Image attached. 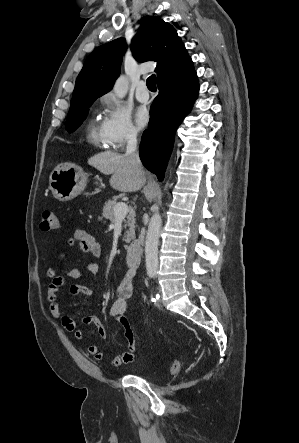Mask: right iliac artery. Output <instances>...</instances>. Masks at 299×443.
I'll use <instances>...</instances> for the list:
<instances>
[{"label":"right iliac artery","instance_id":"82829eb1","mask_svg":"<svg viewBox=\"0 0 299 443\" xmlns=\"http://www.w3.org/2000/svg\"><path fill=\"white\" fill-rule=\"evenodd\" d=\"M155 274L154 273H150V277H153Z\"/></svg>","mask_w":299,"mask_h":443}]
</instances>
